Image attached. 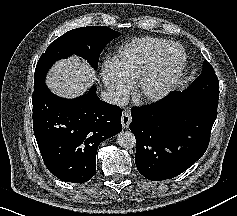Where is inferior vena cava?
<instances>
[{
	"label": "inferior vena cava",
	"instance_id": "1",
	"mask_svg": "<svg viewBox=\"0 0 237 216\" xmlns=\"http://www.w3.org/2000/svg\"><path fill=\"white\" fill-rule=\"evenodd\" d=\"M100 99L106 103L123 107L126 105L125 98L113 89H105L100 93Z\"/></svg>",
	"mask_w": 237,
	"mask_h": 216
}]
</instances>
